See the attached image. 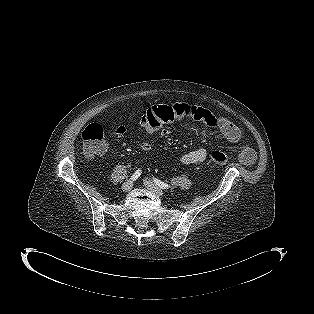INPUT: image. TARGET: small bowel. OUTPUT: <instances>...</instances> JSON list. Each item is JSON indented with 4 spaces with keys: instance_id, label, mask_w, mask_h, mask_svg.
<instances>
[{
    "instance_id": "obj_1",
    "label": "small bowel",
    "mask_w": 314,
    "mask_h": 314,
    "mask_svg": "<svg viewBox=\"0 0 314 314\" xmlns=\"http://www.w3.org/2000/svg\"><path fill=\"white\" fill-rule=\"evenodd\" d=\"M188 119L200 122L209 128L219 131L230 143L241 141L242 134L240 129L228 118L216 115L205 108L189 106L180 101H172L164 105H149L144 111V116L141 118L140 128L146 133L158 132L161 137H166L171 132L170 128H161V126L184 123ZM118 133L119 135L123 133L122 127L118 129ZM152 147L150 142L142 141L140 143V148L143 152H150ZM207 159L208 152L202 148L186 152L181 156V162L184 165L202 163ZM239 160L244 165L253 164L255 160L254 150L247 144H241Z\"/></svg>"
}]
</instances>
